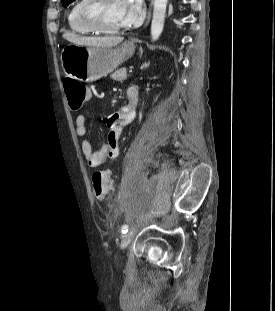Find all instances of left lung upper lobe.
Masks as SVG:
<instances>
[{
  "label": "left lung upper lobe",
  "mask_w": 275,
  "mask_h": 311,
  "mask_svg": "<svg viewBox=\"0 0 275 311\" xmlns=\"http://www.w3.org/2000/svg\"><path fill=\"white\" fill-rule=\"evenodd\" d=\"M62 1V4H63V6H67V5H69L70 3H72L74 0H61Z\"/></svg>",
  "instance_id": "left-lung-upper-lobe-1"
}]
</instances>
